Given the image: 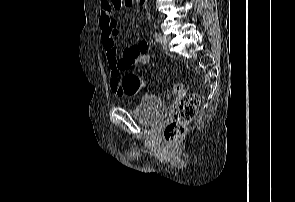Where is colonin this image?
Masks as SVG:
<instances>
[{"label": "colon", "mask_w": 295, "mask_h": 202, "mask_svg": "<svg viewBox=\"0 0 295 202\" xmlns=\"http://www.w3.org/2000/svg\"><path fill=\"white\" fill-rule=\"evenodd\" d=\"M117 8L122 6H131L133 0H111ZM145 43V42H144ZM150 64L149 52H141L140 65L143 68H148ZM144 75H149V70H144ZM148 82H143V79H138L134 74H126L122 78L121 89L124 93L134 94L136 90H145L148 87ZM183 87L177 83L173 87L175 93H181ZM200 104V97L197 94H191L181 98L174 108L173 119L167 123L164 128L163 136L168 143L179 141L186 132L187 124L190 123L196 116Z\"/></svg>", "instance_id": "1"}]
</instances>
